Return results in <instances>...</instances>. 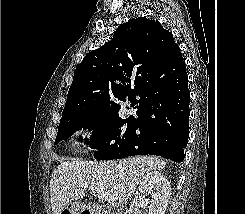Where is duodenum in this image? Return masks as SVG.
<instances>
[{"label": "duodenum", "mask_w": 245, "mask_h": 214, "mask_svg": "<svg viewBox=\"0 0 245 214\" xmlns=\"http://www.w3.org/2000/svg\"><path fill=\"white\" fill-rule=\"evenodd\" d=\"M92 214H127V211L121 207H105L100 205L91 206Z\"/></svg>", "instance_id": "1"}]
</instances>
